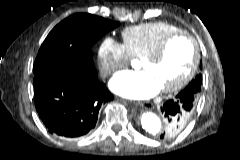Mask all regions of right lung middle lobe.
<instances>
[{
    "label": "right lung middle lobe",
    "mask_w": 240,
    "mask_h": 160,
    "mask_svg": "<svg viewBox=\"0 0 240 160\" xmlns=\"http://www.w3.org/2000/svg\"><path fill=\"white\" fill-rule=\"evenodd\" d=\"M119 26L91 14L78 13L57 24L48 34L34 63V73L53 62H65L83 71L94 69L91 47Z\"/></svg>",
    "instance_id": "right-lung-middle-lobe-1"
}]
</instances>
